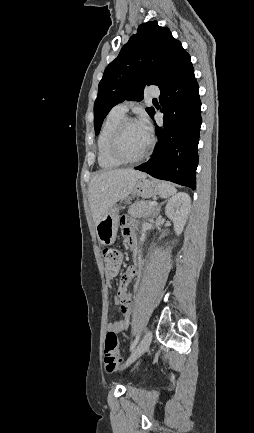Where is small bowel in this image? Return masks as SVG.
Listing matches in <instances>:
<instances>
[{
  "instance_id": "small-bowel-1",
  "label": "small bowel",
  "mask_w": 254,
  "mask_h": 433,
  "mask_svg": "<svg viewBox=\"0 0 254 433\" xmlns=\"http://www.w3.org/2000/svg\"><path fill=\"white\" fill-rule=\"evenodd\" d=\"M136 225L132 221L124 218L122 220V232L126 241H132L135 236ZM139 267L136 265L130 266L121 276L115 298V304L120 307L121 319L116 321H107L106 329L115 333L126 331L129 327L131 309H132V295L128 291V285L132 278L138 273ZM107 274L108 282L116 275Z\"/></svg>"
}]
</instances>
